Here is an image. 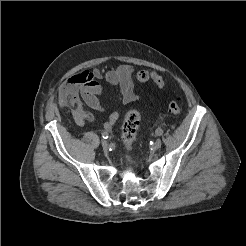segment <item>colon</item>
I'll list each match as a JSON object with an SVG mask.
<instances>
[{"instance_id":"1","label":"colon","mask_w":246,"mask_h":246,"mask_svg":"<svg viewBox=\"0 0 246 246\" xmlns=\"http://www.w3.org/2000/svg\"><path fill=\"white\" fill-rule=\"evenodd\" d=\"M135 78L141 83L151 81L158 88H163L165 86L164 79L158 73L151 70H140L135 74ZM168 109L173 115H178L181 112L179 101H170ZM140 121L141 117L137 110H129L126 113L122 124V140L127 148L132 147Z\"/></svg>"}]
</instances>
